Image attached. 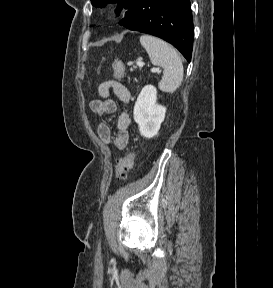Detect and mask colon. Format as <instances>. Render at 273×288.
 Wrapping results in <instances>:
<instances>
[{
	"mask_svg": "<svg viewBox=\"0 0 273 288\" xmlns=\"http://www.w3.org/2000/svg\"><path fill=\"white\" fill-rule=\"evenodd\" d=\"M114 76L117 79L122 78L124 74V66L120 60H116L113 63ZM134 153L130 152L120 157L115 165V176L118 179H124L128 172L131 170L134 162Z\"/></svg>",
	"mask_w": 273,
	"mask_h": 288,
	"instance_id": "1",
	"label": "colon"
}]
</instances>
